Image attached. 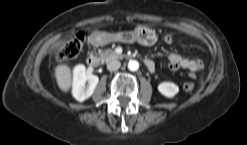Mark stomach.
<instances>
[{"label": "stomach", "instance_id": "stomach-1", "mask_svg": "<svg viewBox=\"0 0 247 145\" xmlns=\"http://www.w3.org/2000/svg\"><path fill=\"white\" fill-rule=\"evenodd\" d=\"M133 42L137 41L145 46H152L157 42V36L154 29L147 26H139L134 31L120 32L115 35H108L107 41Z\"/></svg>", "mask_w": 247, "mask_h": 145}]
</instances>
